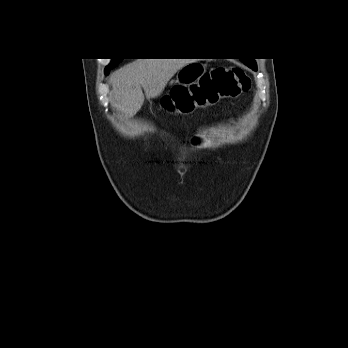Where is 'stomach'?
Returning a JSON list of instances; mask_svg holds the SVG:
<instances>
[{
  "instance_id": "0dacf381",
  "label": "stomach",
  "mask_w": 348,
  "mask_h": 348,
  "mask_svg": "<svg viewBox=\"0 0 348 348\" xmlns=\"http://www.w3.org/2000/svg\"><path fill=\"white\" fill-rule=\"evenodd\" d=\"M204 73L205 67L202 64L198 62L186 64L179 69L177 73L175 81L176 86L187 89L189 86L194 85ZM212 103L213 102L205 98L202 93L193 94L192 92H189L188 95L186 94L185 103L180 107V112L185 114L192 113L198 107L204 108Z\"/></svg>"
}]
</instances>
